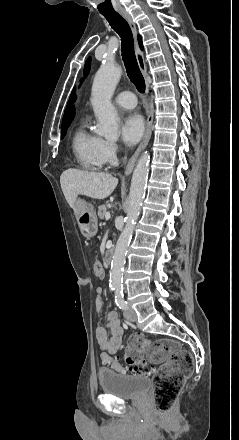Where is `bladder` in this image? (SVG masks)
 Returning <instances> with one entry per match:
<instances>
[{
	"label": "bladder",
	"mask_w": 239,
	"mask_h": 440,
	"mask_svg": "<svg viewBox=\"0 0 239 440\" xmlns=\"http://www.w3.org/2000/svg\"><path fill=\"white\" fill-rule=\"evenodd\" d=\"M97 376L104 393L123 399L139 398L150 386V380L145 376L122 375L108 369H100Z\"/></svg>",
	"instance_id": "bladder-1"
}]
</instances>
